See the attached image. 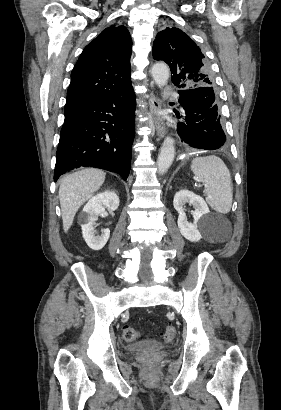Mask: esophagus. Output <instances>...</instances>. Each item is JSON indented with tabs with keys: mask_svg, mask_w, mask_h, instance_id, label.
<instances>
[{
	"mask_svg": "<svg viewBox=\"0 0 281 410\" xmlns=\"http://www.w3.org/2000/svg\"><path fill=\"white\" fill-rule=\"evenodd\" d=\"M150 116L153 120L156 134L159 139H161L165 134V124L164 120L159 116L161 110V104L159 100L155 97L153 92H150V98L148 100Z\"/></svg>",
	"mask_w": 281,
	"mask_h": 410,
	"instance_id": "1",
	"label": "esophagus"
}]
</instances>
